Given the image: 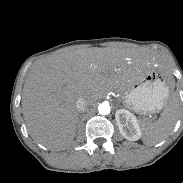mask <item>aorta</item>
<instances>
[{"mask_svg": "<svg viewBox=\"0 0 183 183\" xmlns=\"http://www.w3.org/2000/svg\"><path fill=\"white\" fill-rule=\"evenodd\" d=\"M110 110H111V108H110V105L108 103L104 102V103L99 104V106H98V112L102 115L109 114Z\"/></svg>", "mask_w": 183, "mask_h": 183, "instance_id": "1", "label": "aorta"}]
</instances>
